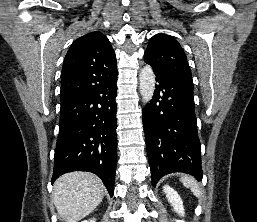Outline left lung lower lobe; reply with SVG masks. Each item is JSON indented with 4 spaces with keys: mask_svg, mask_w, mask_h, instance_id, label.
<instances>
[{
    "mask_svg": "<svg viewBox=\"0 0 257 222\" xmlns=\"http://www.w3.org/2000/svg\"><path fill=\"white\" fill-rule=\"evenodd\" d=\"M153 68V67H152ZM155 91L143 109L146 148L155 186L172 172H183L202 180L200 140L193 86L154 69Z\"/></svg>",
    "mask_w": 257,
    "mask_h": 222,
    "instance_id": "0a47b994",
    "label": "left lung lower lobe"
}]
</instances>
